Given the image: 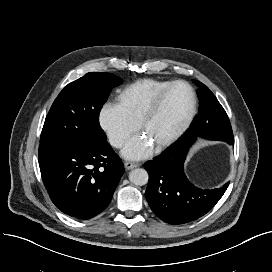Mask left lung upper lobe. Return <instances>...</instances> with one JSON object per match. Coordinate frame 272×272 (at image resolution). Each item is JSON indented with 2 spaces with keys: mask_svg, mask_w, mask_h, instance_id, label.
<instances>
[{
  "mask_svg": "<svg viewBox=\"0 0 272 272\" xmlns=\"http://www.w3.org/2000/svg\"><path fill=\"white\" fill-rule=\"evenodd\" d=\"M196 84L199 86V115L190 128L198 127L200 132L212 139L233 135L229 118L217 98L207 86L198 81Z\"/></svg>",
  "mask_w": 272,
  "mask_h": 272,
  "instance_id": "obj_1",
  "label": "left lung upper lobe"
}]
</instances>
